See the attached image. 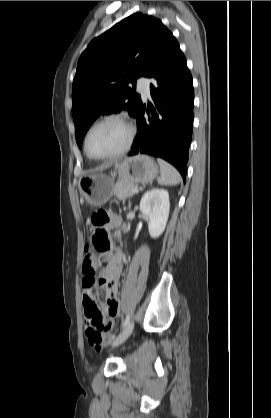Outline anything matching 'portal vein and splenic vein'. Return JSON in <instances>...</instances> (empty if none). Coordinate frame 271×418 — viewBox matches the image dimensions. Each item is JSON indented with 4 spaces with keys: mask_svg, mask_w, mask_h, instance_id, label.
I'll list each match as a JSON object with an SVG mask.
<instances>
[{
    "mask_svg": "<svg viewBox=\"0 0 271 418\" xmlns=\"http://www.w3.org/2000/svg\"><path fill=\"white\" fill-rule=\"evenodd\" d=\"M132 192H133V193H138V192H139V190H138L137 188H135V189H133V190H132Z\"/></svg>",
    "mask_w": 271,
    "mask_h": 418,
    "instance_id": "obj_1",
    "label": "portal vein and splenic vein"
}]
</instances>
